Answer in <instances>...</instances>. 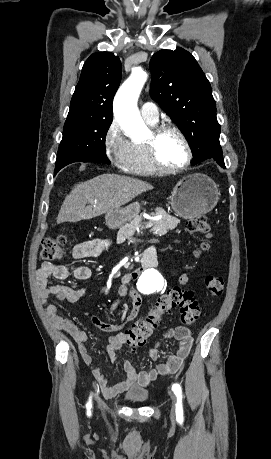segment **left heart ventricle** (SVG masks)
Returning a JSON list of instances; mask_svg holds the SVG:
<instances>
[{"mask_svg":"<svg viewBox=\"0 0 271 459\" xmlns=\"http://www.w3.org/2000/svg\"><path fill=\"white\" fill-rule=\"evenodd\" d=\"M151 138V134L148 139ZM147 139V140H148ZM162 160L168 165H178L187 158V148L183 139L175 132L165 133L158 143Z\"/></svg>","mask_w":271,"mask_h":459,"instance_id":"obj_1","label":"left heart ventricle"}]
</instances>
